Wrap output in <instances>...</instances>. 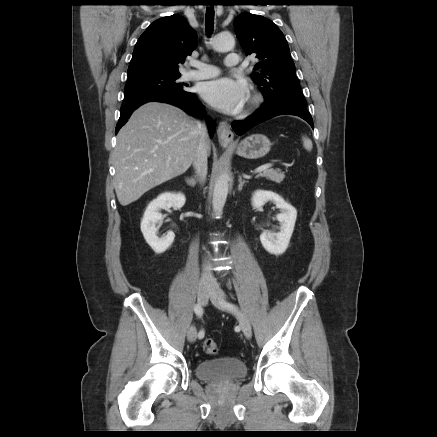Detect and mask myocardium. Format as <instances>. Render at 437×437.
<instances>
[{
  "label": "myocardium",
  "mask_w": 437,
  "mask_h": 437,
  "mask_svg": "<svg viewBox=\"0 0 437 437\" xmlns=\"http://www.w3.org/2000/svg\"><path fill=\"white\" fill-rule=\"evenodd\" d=\"M260 101H261V97L259 94L255 93V94L251 95L249 100H248V104H247L248 109L255 108L256 106H258Z\"/></svg>",
  "instance_id": "f54148a6"
}]
</instances>
